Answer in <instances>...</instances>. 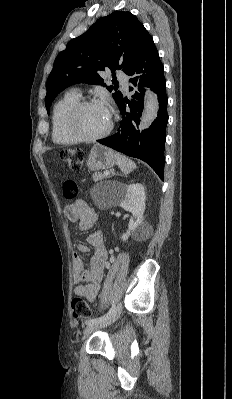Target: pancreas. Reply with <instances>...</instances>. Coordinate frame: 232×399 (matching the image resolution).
I'll return each mask as SVG.
<instances>
[{"mask_svg":"<svg viewBox=\"0 0 232 399\" xmlns=\"http://www.w3.org/2000/svg\"><path fill=\"white\" fill-rule=\"evenodd\" d=\"M106 178H108V176H105V174H102V172H95V174H93V180H95V182H99V180H106Z\"/></svg>","mask_w":232,"mask_h":399,"instance_id":"obj_1","label":"pancreas"}]
</instances>
